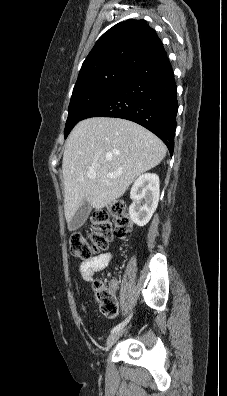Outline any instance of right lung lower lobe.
Listing matches in <instances>:
<instances>
[{"label": "right lung lower lobe", "mask_w": 227, "mask_h": 396, "mask_svg": "<svg viewBox=\"0 0 227 396\" xmlns=\"http://www.w3.org/2000/svg\"><path fill=\"white\" fill-rule=\"evenodd\" d=\"M178 111L174 73L165 50L139 64L83 117H116L157 135L172 155Z\"/></svg>", "instance_id": "obj_1"}]
</instances>
